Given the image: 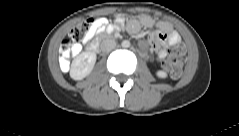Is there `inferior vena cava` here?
<instances>
[{"mask_svg":"<svg viewBox=\"0 0 239 136\" xmlns=\"http://www.w3.org/2000/svg\"><path fill=\"white\" fill-rule=\"evenodd\" d=\"M100 47L103 52H110L116 47V42L113 39L107 38L101 42Z\"/></svg>","mask_w":239,"mask_h":136,"instance_id":"obj_1","label":"inferior vena cava"}]
</instances>
